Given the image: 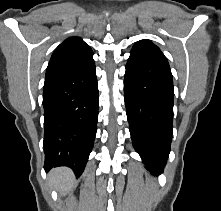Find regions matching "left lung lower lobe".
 Segmentation results:
<instances>
[{
    "mask_svg": "<svg viewBox=\"0 0 221 211\" xmlns=\"http://www.w3.org/2000/svg\"><path fill=\"white\" fill-rule=\"evenodd\" d=\"M124 99L132 143L155 175L166 165L173 128V78L166 60L131 52L126 65Z\"/></svg>",
    "mask_w": 221,
    "mask_h": 211,
    "instance_id": "0a47b994",
    "label": "left lung lower lobe"
}]
</instances>
